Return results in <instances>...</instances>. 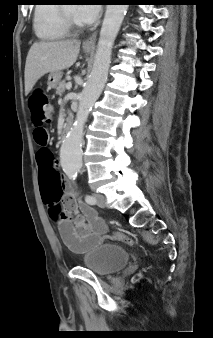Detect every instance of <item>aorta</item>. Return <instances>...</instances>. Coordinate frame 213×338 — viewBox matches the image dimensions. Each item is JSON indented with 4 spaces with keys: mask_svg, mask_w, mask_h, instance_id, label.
<instances>
[{
    "mask_svg": "<svg viewBox=\"0 0 213 338\" xmlns=\"http://www.w3.org/2000/svg\"><path fill=\"white\" fill-rule=\"evenodd\" d=\"M127 9L128 5H107L93 67L79 97L75 122L61 148V166L70 178L75 177L82 167L84 126L107 81L112 48Z\"/></svg>",
    "mask_w": 213,
    "mask_h": 338,
    "instance_id": "aorta-1",
    "label": "aorta"
}]
</instances>
